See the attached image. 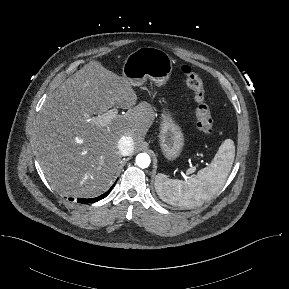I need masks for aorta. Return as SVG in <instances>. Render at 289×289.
<instances>
[{
    "mask_svg": "<svg viewBox=\"0 0 289 289\" xmlns=\"http://www.w3.org/2000/svg\"><path fill=\"white\" fill-rule=\"evenodd\" d=\"M150 156L146 153H140L136 156V164L140 168H147L150 165Z\"/></svg>",
    "mask_w": 289,
    "mask_h": 289,
    "instance_id": "1",
    "label": "aorta"
}]
</instances>
